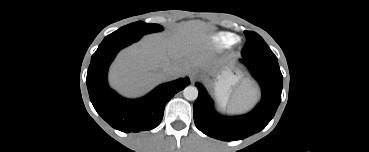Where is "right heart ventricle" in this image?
Returning a JSON list of instances; mask_svg holds the SVG:
<instances>
[{
	"instance_id": "obj_1",
	"label": "right heart ventricle",
	"mask_w": 369,
	"mask_h": 152,
	"mask_svg": "<svg viewBox=\"0 0 369 152\" xmlns=\"http://www.w3.org/2000/svg\"><path fill=\"white\" fill-rule=\"evenodd\" d=\"M215 41L222 47H229L238 41V37L231 33H220L215 37Z\"/></svg>"
}]
</instances>
